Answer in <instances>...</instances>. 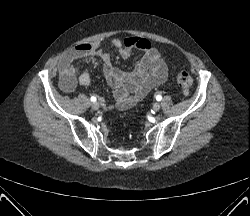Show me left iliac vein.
I'll return each instance as SVG.
<instances>
[{
    "mask_svg": "<svg viewBox=\"0 0 250 216\" xmlns=\"http://www.w3.org/2000/svg\"><path fill=\"white\" fill-rule=\"evenodd\" d=\"M152 109H153L154 111H158V110L160 109V103H159V102L153 103Z\"/></svg>",
    "mask_w": 250,
    "mask_h": 216,
    "instance_id": "left-iliac-vein-1",
    "label": "left iliac vein"
}]
</instances>
